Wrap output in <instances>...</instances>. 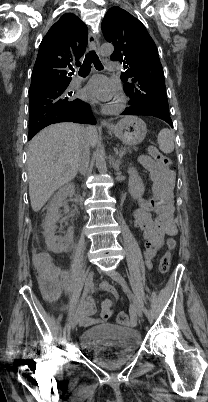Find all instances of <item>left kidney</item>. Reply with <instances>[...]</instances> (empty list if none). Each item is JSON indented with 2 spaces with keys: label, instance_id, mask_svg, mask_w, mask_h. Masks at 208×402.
<instances>
[{
  "label": "left kidney",
  "instance_id": "obj_1",
  "mask_svg": "<svg viewBox=\"0 0 208 402\" xmlns=\"http://www.w3.org/2000/svg\"><path fill=\"white\" fill-rule=\"evenodd\" d=\"M128 174H129L128 192L129 194H131L134 200H138V198H141L145 190L144 184L140 176H138L136 170H134V168H128Z\"/></svg>",
  "mask_w": 208,
  "mask_h": 402
}]
</instances>
